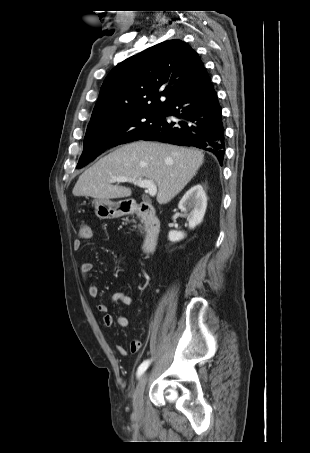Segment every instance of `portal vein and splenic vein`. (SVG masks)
I'll use <instances>...</instances> for the list:
<instances>
[{
    "label": "portal vein and splenic vein",
    "mask_w": 310,
    "mask_h": 453,
    "mask_svg": "<svg viewBox=\"0 0 310 453\" xmlns=\"http://www.w3.org/2000/svg\"><path fill=\"white\" fill-rule=\"evenodd\" d=\"M110 183H123V182H130L133 183L141 188H145L148 192V194L152 197H154L157 193V186L154 183V181L149 180V179H133V178H128L125 176H118V177H112V179L109 181Z\"/></svg>",
    "instance_id": "portal-vein-and-splenic-vein-1"
}]
</instances>
